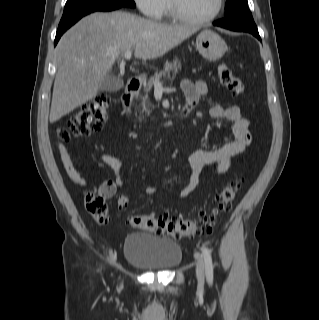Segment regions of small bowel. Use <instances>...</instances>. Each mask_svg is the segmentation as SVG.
I'll return each mask as SVG.
<instances>
[{"mask_svg": "<svg viewBox=\"0 0 319 320\" xmlns=\"http://www.w3.org/2000/svg\"><path fill=\"white\" fill-rule=\"evenodd\" d=\"M182 91L186 97L187 105L185 112H190L196 107L201 98L205 97L208 88L202 81L192 82L184 80L181 84ZM208 113L215 119H227L233 123V135L234 139L227 142L222 147L215 150H199L191 153L187 156V163L190 167V181L180 191L179 198L185 199L188 197L198 186L200 182V176L206 168H210L213 173H224L229 165L231 159L237 154L243 152L252 141V136L249 130V120L242 116L241 109L237 105H230L223 107L221 105H212L208 108ZM58 152L60 155L62 166L68 175V177L76 184L80 186H86L87 181L77 171L73 160L67 150V148L60 142L57 143ZM99 160L104 164L110 166L117 174V185L123 187L125 185L122 175V163L121 161L109 154H100ZM103 185L98 189V192H102ZM157 186H149L144 189V194L152 196L158 192ZM123 197L118 199V205L120 208V201Z\"/></svg>", "mask_w": 319, "mask_h": 320, "instance_id": "c3829d8e", "label": "small bowel"}]
</instances>
